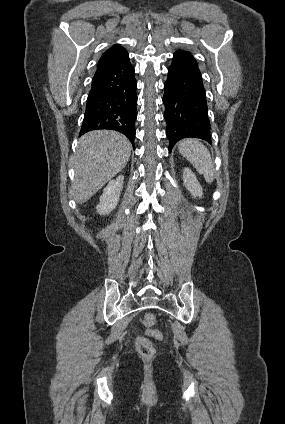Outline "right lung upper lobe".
Here are the masks:
<instances>
[{
  "mask_svg": "<svg viewBox=\"0 0 285 424\" xmlns=\"http://www.w3.org/2000/svg\"><path fill=\"white\" fill-rule=\"evenodd\" d=\"M128 58V53L125 48L120 45H113L105 53L102 54L101 58L98 61L97 68L113 64L124 59Z\"/></svg>",
  "mask_w": 285,
  "mask_h": 424,
  "instance_id": "1",
  "label": "right lung upper lobe"
}]
</instances>
